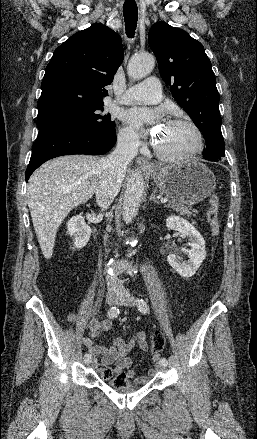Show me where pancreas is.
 Masks as SVG:
<instances>
[{"label": "pancreas", "instance_id": "cf45deb5", "mask_svg": "<svg viewBox=\"0 0 257 439\" xmlns=\"http://www.w3.org/2000/svg\"><path fill=\"white\" fill-rule=\"evenodd\" d=\"M168 206H170L173 210L179 212L180 215H187L188 217L197 213V210L192 209L191 206H186L176 201H171Z\"/></svg>", "mask_w": 257, "mask_h": 439}]
</instances>
